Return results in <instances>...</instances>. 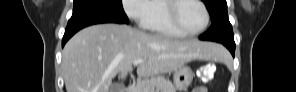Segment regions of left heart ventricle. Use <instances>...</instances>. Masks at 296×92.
I'll use <instances>...</instances> for the list:
<instances>
[{"label":"left heart ventricle","mask_w":296,"mask_h":92,"mask_svg":"<svg viewBox=\"0 0 296 92\" xmlns=\"http://www.w3.org/2000/svg\"><path fill=\"white\" fill-rule=\"evenodd\" d=\"M177 16L181 27L190 32L200 29L205 21L202 7L194 1L183 2L178 8Z\"/></svg>","instance_id":"obj_1"}]
</instances>
